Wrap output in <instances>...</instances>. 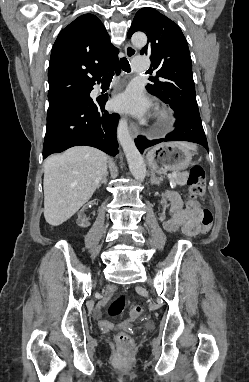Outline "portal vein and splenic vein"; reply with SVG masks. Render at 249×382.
I'll return each instance as SVG.
<instances>
[{"label":"portal vein and splenic vein","mask_w":249,"mask_h":382,"mask_svg":"<svg viewBox=\"0 0 249 382\" xmlns=\"http://www.w3.org/2000/svg\"><path fill=\"white\" fill-rule=\"evenodd\" d=\"M177 177V173L176 172H173L172 175H171V178L172 179H175Z\"/></svg>","instance_id":"18ae733b"}]
</instances>
